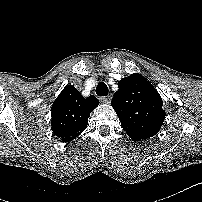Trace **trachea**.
Masks as SVG:
<instances>
[{"instance_id": "trachea-1", "label": "trachea", "mask_w": 202, "mask_h": 202, "mask_svg": "<svg viewBox=\"0 0 202 202\" xmlns=\"http://www.w3.org/2000/svg\"><path fill=\"white\" fill-rule=\"evenodd\" d=\"M108 92H109V90L105 83H103V82L98 83V85L96 87V94L98 96H107Z\"/></svg>"}]
</instances>
